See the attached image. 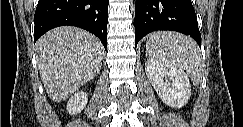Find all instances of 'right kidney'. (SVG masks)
<instances>
[{
  "label": "right kidney",
  "mask_w": 243,
  "mask_h": 127,
  "mask_svg": "<svg viewBox=\"0 0 243 127\" xmlns=\"http://www.w3.org/2000/svg\"><path fill=\"white\" fill-rule=\"evenodd\" d=\"M88 102V95L85 92H78L72 96L67 102L66 109L69 114L74 115L80 113Z\"/></svg>",
  "instance_id": "ca27d5eb"
}]
</instances>
